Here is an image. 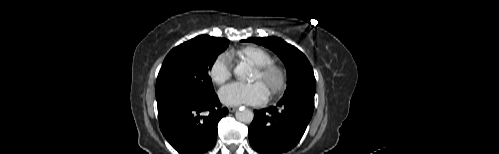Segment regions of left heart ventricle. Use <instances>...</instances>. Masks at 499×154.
Listing matches in <instances>:
<instances>
[{"label":"left heart ventricle","mask_w":499,"mask_h":154,"mask_svg":"<svg viewBox=\"0 0 499 154\" xmlns=\"http://www.w3.org/2000/svg\"><path fill=\"white\" fill-rule=\"evenodd\" d=\"M251 80L252 81H260V82H262L265 85L266 89L269 90V85L265 81H263L261 79V77L259 76V74H258V72L256 70L254 71Z\"/></svg>","instance_id":"b2bd125f"}]
</instances>
